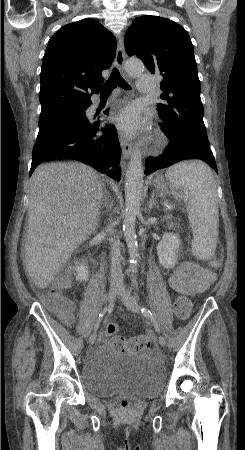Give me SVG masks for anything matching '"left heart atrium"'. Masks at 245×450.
<instances>
[{
    "mask_svg": "<svg viewBox=\"0 0 245 450\" xmlns=\"http://www.w3.org/2000/svg\"><path fill=\"white\" fill-rule=\"evenodd\" d=\"M148 118L142 115L138 105H129L115 114L111 122L125 135L133 136L143 129Z\"/></svg>",
    "mask_w": 245,
    "mask_h": 450,
    "instance_id": "obj_1",
    "label": "left heart atrium"
}]
</instances>
